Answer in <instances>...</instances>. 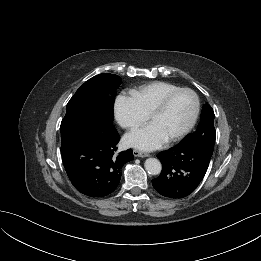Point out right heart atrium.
<instances>
[{"mask_svg": "<svg viewBox=\"0 0 261 261\" xmlns=\"http://www.w3.org/2000/svg\"><path fill=\"white\" fill-rule=\"evenodd\" d=\"M114 115L118 124L126 130L138 128L147 119L133 94L120 95L114 105Z\"/></svg>", "mask_w": 261, "mask_h": 261, "instance_id": "right-heart-atrium-1", "label": "right heart atrium"}]
</instances>
